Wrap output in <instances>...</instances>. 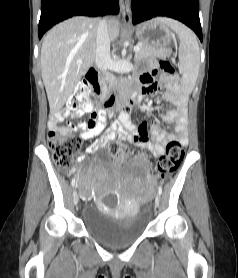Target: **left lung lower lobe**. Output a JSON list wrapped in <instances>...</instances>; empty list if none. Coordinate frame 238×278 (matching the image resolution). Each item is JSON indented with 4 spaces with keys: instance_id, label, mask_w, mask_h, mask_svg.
Instances as JSON below:
<instances>
[{
    "instance_id": "left-lung-lower-lobe-1",
    "label": "left lung lower lobe",
    "mask_w": 238,
    "mask_h": 278,
    "mask_svg": "<svg viewBox=\"0 0 238 278\" xmlns=\"http://www.w3.org/2000/svg\"><path fill=\"white\" fill-rule=\"evenodd\" d=\"M133 23L157 16L174 18L190 27L202 41L199 0H132Z\"/></svg>"
}]
</instances>
